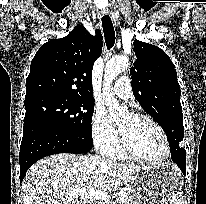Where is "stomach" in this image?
I'll use <instances>...</instances> for the list:
<instances>
[{
	"mask_svg": "<svg viewBox=\"0 0 206 204\" xmlns=\"http://www.w3.org/2000/svg\"><path fill=\"white\" fill-rule=\"evenodd\" d=\"M180 185L178 169L172 164L163 163L142 167L127 189L133 196L132 204H168Z\"/></svg>",
	"mask_w": 206,
	"mask_h": 204,
	"instance_id": "stomach-1",
	"label": "stomach"
}]
</instances>
